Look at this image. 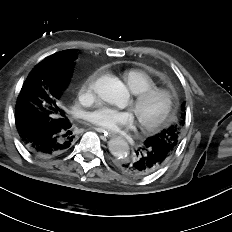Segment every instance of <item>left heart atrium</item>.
Masks as SVG:
<instances>
[{
	"label": "left heart atrium",
	"instance_id": "39dd6f15",
	"mask_svg": "<svg viewBox=\"0 0 232 232\" xmlns=\"http://www.w3.org/2000/svg\"><path fill=\"white\" fill-rule=\"evenodd\" d=\"M86 119L92 125L111 132L130 128L134 123L132 112L105 106L87 113Z\"/></svg>",
	"mask_w": 232,
	"mask_h": 232
}]
</instances>
